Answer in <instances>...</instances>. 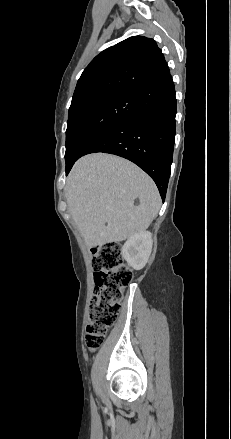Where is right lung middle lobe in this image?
Masks as SVG:
<instances>
[{
    "label": "right lung middle lobe",
    "mask_w": 231,
    "mask_h": 439,
    "mask_svg": "<svg viewBox=\"0 0 231 439\" xmlns=\"http://www.w3.org/2000/svg\"><path fill=\"white\" fill-rule=\"evenodd\" d=\"M138 110L134 93L106 94L69 109L66 166L79 157L82 148L94 135Z\"/></svg>",
    "instance_id": "1"
}]
</instances>
